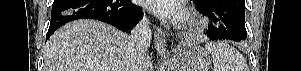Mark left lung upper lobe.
<instances>
[{"instance_id": "1", "label": "left lung upper lobe", "mask_w": 301, "mask_h": 71, "mask_svg": "<svg viewBox=\"0 0 301 71\" xmlns=\"http://www.w3.org/2000/svg\"><path fill=\"white\" fill-rule=\"evenodd\" d=\"M207 0H193V2H199V3H204L206 2Z\"/></svg>"}]
</instances>
